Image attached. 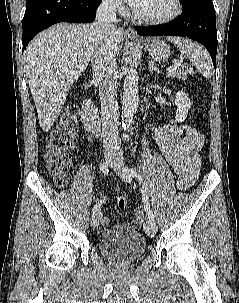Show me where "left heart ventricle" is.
<instances>
[{
  "mask_svg": "<svg viewBox=\"0 0 239 303\" xmlns=\"http://www.w3.org/2000/svg\"><path fill=\"white\" fill-rule=\"evenodd\" d=\"M173 9V0H145L136 11L144 16L159 17L171 13Z\"/></svg>",
  "mask_w": 239,
  "mask_h": 303,
  "instance_id": "1",
  "label": "left heart ventricle"
}]
</instances>
